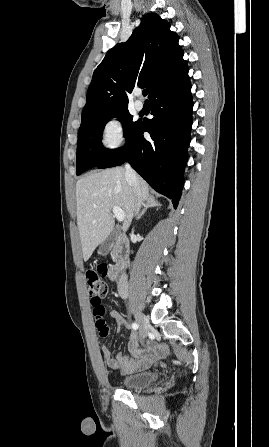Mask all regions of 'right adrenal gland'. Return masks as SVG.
Segmentation results:
<instances>
[{"label": "right adrenal gland", "instance_id": "right-adrenal-gland-1", "mask_svg": "<svg viewBox=\"0 0 269 447\" xmlns=\"http://www.w3.org/2000/svg\"><path fill=\"white\" fill-rule=\"evenodd\" d=\"M159 206H162V204H159V202L155 200L154 196H148V200H146V204H144V210H142L141 214L137 216L136 220H141L148 208H157V210H159Z\"/></svg>", "mask_w": 269, "mask_h": 447}]
</instances>
